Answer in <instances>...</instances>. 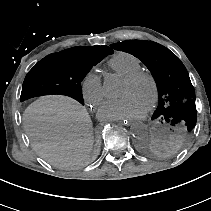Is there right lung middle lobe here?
I'll return each instance as SVG.
<instances>
[{"mask_svg":"<svg viewBox=\"0 0 211 211\" xmlns=\"http://www.w3.org/2000/svg\"><path fill=\"white\" fill-rule=\"evenodd\" d=\"M104 55H79L63 50L39 61L26 75L20 100L61 94L84 104L81 81Z\"/></svg>","mask_w":211,"mask_h":211,"instance_id":"1","label":"right lung middle lobe"}]
</instances>
